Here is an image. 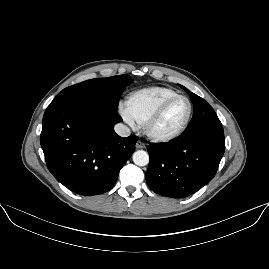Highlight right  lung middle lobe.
<instances>
[{
    "instance_id": "dd1d6c3e",
    "label": "right lung middle lobe",
    "mask_w": 269,
    "mask_h": 269,
    "mask_svg": "<svg viewBox=\"0 0 269 269\" xmlns=\"http://www.w3.org/2000/svg\"><path fill=\"white\" fill-rule=\"evenodd\" d=\"M131 82V77L126 74L95 78L69 86L63 89L59 95L88 98L118 108L120 96Z\"/></svg>"
}]
</instances>
